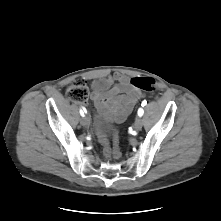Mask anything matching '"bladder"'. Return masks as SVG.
Wrapping results in <instances>:
<instances>
[{"label":"bladder","instance_id":"1","mask_svg":"<svg viewBox=\"0 0 221 221\" xmlns=\"http://www.w3.org/2000/svg\"><path fill=\"white\" fill-rule=\"evenodd\" d=\"M95 120L97 122L98 129L104 134H108L114 126L113 118L104 108H99L96 111Z\"/></svg>","mask_w":221,"mask_h":221}]
</instances>
